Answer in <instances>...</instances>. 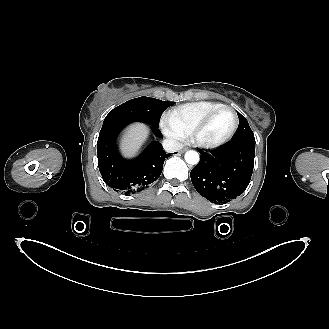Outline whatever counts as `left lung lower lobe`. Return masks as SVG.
Masks as SVG:
<instances>
[{"mask_svg": "<svg viewBox=\"0 0 329 329\" xmlns=\"http://www.w3.org/2000/svg\"><path fill=\"white\" fill-rule=\"evenodd\" d=\"M200 154L190 177L203 197L224 203L245 191L253 172L255 141H231L214 150H201Z\"/></svg>", "mask_w": 329, "mask_h": 329, "instance_id": "1", "label": "left lung lower lobe"}]
</instances>
